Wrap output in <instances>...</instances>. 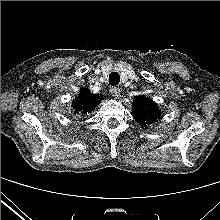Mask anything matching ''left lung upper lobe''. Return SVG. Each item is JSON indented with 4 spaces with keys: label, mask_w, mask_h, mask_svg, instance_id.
Wrapping results in <instances>:
<instances>
[{
    "label": "left lung upper lobe",
    "mask_w": 220,
    "mask_h": 220,
    "mask_svg": "<svg viewBox=\"0 0 220 220\" xmlns=\"http://www.w3.org/2000/svg\"><path fill=\"white\" fill-rule=\"evenodd\" d=\"M132 107V116L143 126L157 121L160 117V110L157 104L152 99L144 96L135 97Z\"/></svg>",
    "instance_id": "5c2ea615"
}]
</instances>
